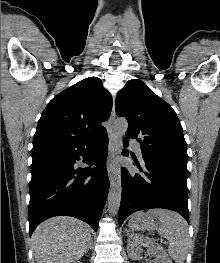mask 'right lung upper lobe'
I'll list each match as a JSON object with an SVG mask.
<instances>
[{"label": "right lung upper lobe", "instance_id": "cb5924a9", "mask_svg": "<svg viewBox=\"0 0 220 263\" xmlns=\"http://www.w3.org/2000/svg\"><path fill=\"white\" fill-rule=\"evenodd\" d=\"M112 97L97 77H88L56 95L43 111L33 148L84 142L106 129Z\"/></svg>", "mask_w": 220, "mask_h": 263}]
</instances>
